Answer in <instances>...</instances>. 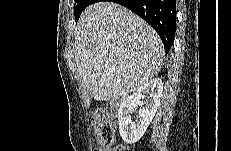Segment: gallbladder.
Wrapping results in <instances>:
<instances>
[{"instance_id": "gallbladder-1", "label": "gallbladder", "mask_w": 231, "mask_h": 151, "mask_svg": "<svg viewBox=\"0 0 231 151\" xmlns=\"http://www.w3.org/2000/svg\"><path fill=\"white\" fill-rule=\"evenodd\" d=\"M87 94H88L89 96H91V93H90V91H87Z\"/></svg>"}]
</instances>
